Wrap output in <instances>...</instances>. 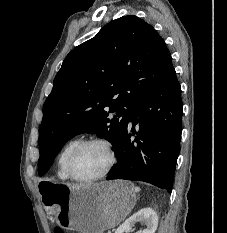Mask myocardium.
<instances>
[{
    "label": "myocardium",
    "instance_id": "obj_1",
    "mask_svg": "<svg viewBox=\"0 0 227 233\" xmlns=\"http://www.w3.org/2000/svg\"><path fill=\"white\" fill-rule=\"evenodd\" d=\"M92 144H96V145H100L102 146L107 154H108V164L105 167V169L92 177H86V178H82V177H78L73 173L72 170V160L75 156V154L84 146L87 145H92ZM116 164V153L114 150L113 145L106 139L103 138H88L85 140H81L79 141L68 153L67 158H66V171L67 174L69 176L70 179L77 181V182H93V181H98L104 177H106L110 171L113 169V167Z\"/></svg>",
    "mask_w": 227,
    "mask_h": 233
}]
</instances>
